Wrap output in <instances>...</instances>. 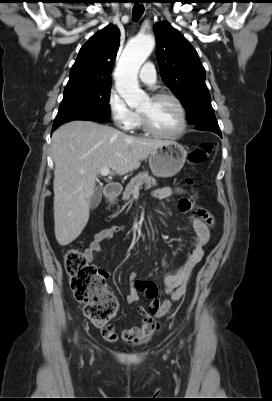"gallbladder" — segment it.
I'll list each match as a JSON object with an SVG mask.
<instances>
[{"label": "gallbladder", "mask_w": 272, "mask_h": 401, "mask_svg": "<svg viewBox=\"0 0 272 401\" xmlns=\"http://www.w3.org/2000/svg\"><path fill=\"white\" fill-rule=\"evenodd\" d=\"M101 199H102V189L101 187H98L90 198L89 207L91 209L96 208L100 204Z\"/></svg>", "instance_id": "obj_1"}]
</instances>
